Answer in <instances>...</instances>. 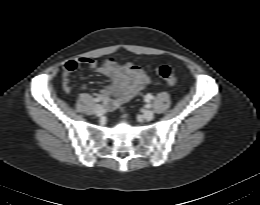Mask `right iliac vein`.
I'll return each instance as SVG.
<instances>
[{"mask_svg": "<svg viewBox=\"0 0 260 205\" xmlns=\"http://www.w3.org/2000/svg\"><path fill=\"white\" fill-rule=\"evenodd\" d=\"M94 113L97 115V116H100L104 113V109L101 105L97 104L95 105L94 107Z\"/></svg>", "mask_w": 260, "mask_h": 205, "instance_id": "1", "label": "right iliac vein"}]
</instances>
